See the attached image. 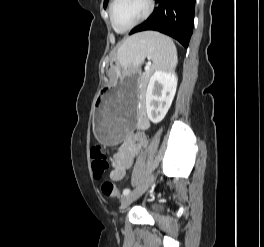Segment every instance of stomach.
I'll use <instances>...</instances> for the list:
<instances>
[{
	"label": "stomach",
	"mask_w": 264,
	"mask_h": 247,
	"mask_svg": "<svg viewBox=\"0 0 264 247\" xmlns=\"http://www.w3.org/2000/svg\"><path fill=\"white\" fill-rule=\"evenodd\" d=\"M114 67L118 82L115 86H101L94 106L95 133L105 147H114L120 141H127L131 131H136L134 123L138 109L134 108L133 103L139 79L125 76L121 63H115ZM130 74H138V71H130Z\"/></svg>",
	"instance_id": "0dacf381"
}]
</instances>
